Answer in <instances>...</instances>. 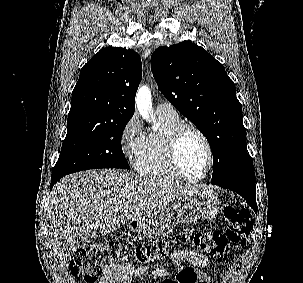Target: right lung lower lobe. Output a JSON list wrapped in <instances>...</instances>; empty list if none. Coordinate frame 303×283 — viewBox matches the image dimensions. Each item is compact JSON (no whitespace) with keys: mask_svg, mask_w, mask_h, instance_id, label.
Instances as JSON below:
<instances>
[{"mask_svg":"<svg viewBox=\"0 0 303 283\" xmlns=\"http://www.w3.org/2000/svg\"><path fill=\"white\" fill-rule=\"evenodd\" d=\"M63 176H65V175L52 174L50 188H52L53 185H54L60 178H62Z\"/></svg>","mask_w":303,"mask_h":283,"instance_id":"obj_1","label":"right lung lower lobe"}]
</instances>
